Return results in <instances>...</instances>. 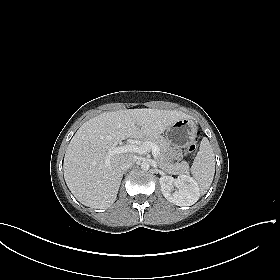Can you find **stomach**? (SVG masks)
I'll list each match as a JSON object with an SVG mask.
<instances>
[{
    "instance_id": "1",
    "label": "stomach",
    "mask_w": 280,
    "mask_h": 280,
    "mask_svg": "<svg viewBox=\"0 0 280 280\" xmlns=\"http://www.w3.org/2000/svg\"><path fill=\"white\" fill-rule=\"evenodd\" d=\"M197 127L189 118H184L173 123L166 129V139L169 143L182 147L191 145L196 138Z\"/></svg>"
}]
</instances>
